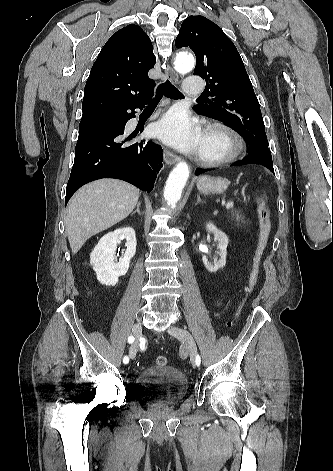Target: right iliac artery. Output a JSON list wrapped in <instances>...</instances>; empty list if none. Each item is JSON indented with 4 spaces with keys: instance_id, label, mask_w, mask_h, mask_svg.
Instances as JSON below:
<instances>
[{
    "instance_id": "82829eb1",
    "label": "right iliac artery",
    "mask_w": 333,
    "mask_h": 471,
    "mask_svg": "<svg viewBox=\"0 0 333 471\" xmlns=\"http://www.w3.org/2000/svg\"><path fill=\"white\" fill-rule=\"evenodd\" d=\"M134 340H135V339H134L133 336H129V337H128V342H129L130 344L133 343ZM128 362H129V358H128L127 356H125V357L123 358V363H124V364H127Z\"/></svg>"
}]
</instances>
